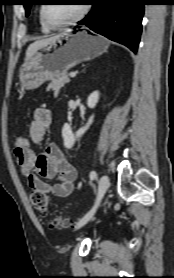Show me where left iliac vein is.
<instances>
[{
    "label": "left iliac vein",
    "mask_w": 174,
    "mask_h": 278,
    "mask_svg": "<svg viewBox=\"0 0 174 278\" xmlns=\"http://www.w3.org/2000/svg\"><path fill=\"white\" fill-rule=\"evenodd\" d=\"M109 177L107 175H103L100 178L99 181V186H98V193H97V199L95 202L94 207L92 208V210L90 212H88L76 225V228H80L82 227L84 224H86L94 215L96 208L98 207V205L100 204L103 196L105 195L107 189L109 188Z\"/></svg>",
    "instance_id": "1"
}]
</instances>
